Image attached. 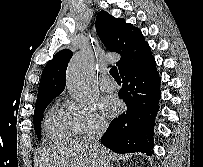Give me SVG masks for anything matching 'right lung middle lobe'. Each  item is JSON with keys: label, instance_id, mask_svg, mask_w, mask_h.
I'll return each instance as SVG.
<instances>
[{"label": "right lung middle lobe", "instance_id": "right-lung-middle-lobe-1", "mask_svg": "<svg viewBox=\"0 0 203 167\" xmlns=\"http://www.w3.org/2000/svg\"><path fill=\"white\" fill-rule=\"evenodd\" d=\"M54 98L55 97L40 101L35 105L33 123H34L35 133L37 134L38 139H41V121L43 120V113L46 107Z\"/></svg>", "mask_w": 203, "mask_h": 167}]
</instances>
